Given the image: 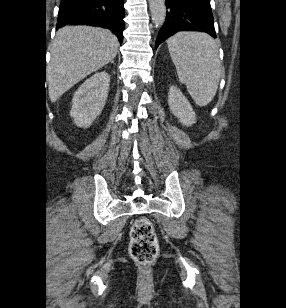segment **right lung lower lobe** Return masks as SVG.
I'll use <instances>...</instances> for the list:
<instances>
[{
    "mask_svg": "<svg viewBox=\"0 0 286 308\" xmlns=\"http://www.w3.org/2000/svg\"><path fill=\"white\" fill-rule=\"evenodd\" d=\"M124 0H61L56 28L88 24L108 28L123 40Z\"/></svg>",
    "mask_w": 286,
    "mask_h": 308,
    "instance_id": "98d812e1",
    "label": "right lung lower lobe"
}]
</instances>
